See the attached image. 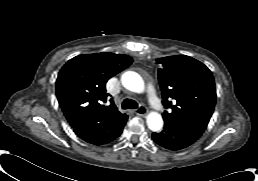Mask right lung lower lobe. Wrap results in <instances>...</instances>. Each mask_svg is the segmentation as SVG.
<instances>
[{"label":"right lung lower lobe","mask_w":258,"mask_h":181,"mask_svg":"<svg viewBox=\"0 0 258 181\" xmlns=\"http://www.w3.org/2000/svg\"><path fill=\"white\" fill-rule=\"evenodd\" d=\"M128 119L127 115L118 119L99 123L89 128L75 129V133L88 143L102 145L116 139L122 133Z\"/></svg>","instance_id":"obj_1"}]
</instances>
